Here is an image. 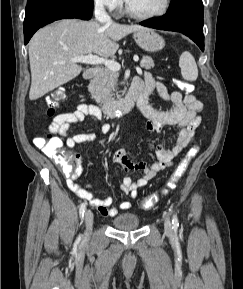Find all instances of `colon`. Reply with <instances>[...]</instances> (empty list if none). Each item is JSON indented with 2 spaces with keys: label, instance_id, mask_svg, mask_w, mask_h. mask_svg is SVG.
Returning a JSON list of instances; mask_svg holds the SVG:
<instances>
[{
  "label": "colon",
  "instance_id": "colon-1",
  "mask_svg": "<svg viewBox=\"0 0 243 289\" xmlns=\"http://www.w3.org/2000/svg\"><path fill=\"white\" fill-rule=\"evenodd\" d=\"M177 85L179 88L186 91H190L193 88L190 84L182 81H177ZM64 98V89L60 88L52 91L50 95L46 98V114L48 116H52L59 105V101L63 100ZM33 142L35 146L41 149L48 157L53 159L55 163L60 166V168L65 174H70L73 171V156L72 154L63 150V142L59 138L48 135L47 137H36ZM198 150L199 148L195 146L188 151V153L181 160V162L178 164L175 171L173 172L169 182L167 183L164 193L176 187L177 182L184 175L191 159L197 154ZM157 201V195H150L142 200L141 205L145 210H149L157 203Z\"/></svg>",
  "mask_w": 243,
  "mask_h": 289
}]
</instances>
